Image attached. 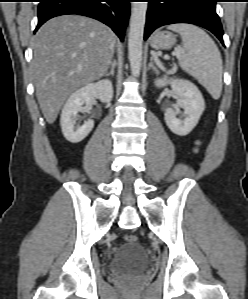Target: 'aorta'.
<instances>
[{"mask_svg":"<svg viewBox=\"0 0 248 299\" xmlns=\"http://www.w3.org/2000/svg\"><path fill=\"white\" fill-rule=\"evenodd\" d=\"M147 2H133L128 34V57L131 73L139 76L142 65V44L146 21Z\"/></svg>","mask_w":248,"mask_h":299,"instance_id":"1","label":"aorta"}]
</instances>
